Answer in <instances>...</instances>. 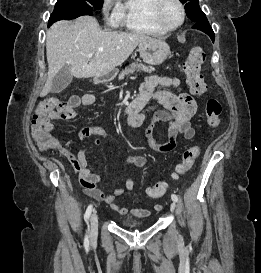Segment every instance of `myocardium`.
<instances>
[{"label":"myocardium","mask_w":261,"mask_h":273,"mask_svg":"<svg viewBox=\"0 0 261 273\" xmlns=\"http://www.w3.org/2000/svg\"><path fill=\"white\" fill-rule=\"evenodd\" d=\"M168 1L174 2L178 6L180 10V14H181L180 21L174 26L166 25L161 19V10L164 4ZM151 16H152V20L159 28H161L165 32H171L178 29L184 23L186 12H185L184 5L182 4L180 0H156L155 4L152 7Z\"/></svg>","instance_id":"f54148a6"}]
</instances>
